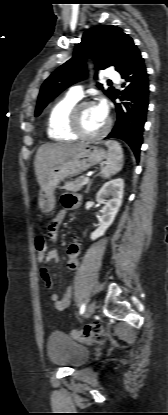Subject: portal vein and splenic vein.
I'll return each instance as SVG.
<instances>
[{
	"mask_svg": "<svg viewBox=\"0 0 168 415\" xmlns=\"http://www.w3.org/2000/svg\"><path fill=\"white\" fill-rule=\"evenodd\" d=\"M88 182H89V177H86V178L83 180L82 185H86Z\"/></svg>",
	"mask_w": 168,
	"mask_h": 415,
	"instance_id": "1",
	"label": "portal vein and splenic vein"
}]
</instances>
